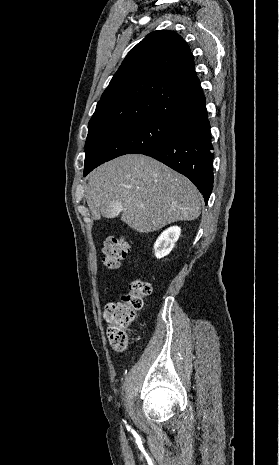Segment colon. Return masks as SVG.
Instances as JSON below:
<instances>
[{
	"label": "colon",
	"instance_id": "1",
	"mask_svg": "<svg viewBox=\"0 0 279 465\" xmlns=\"http://www.w3.org/2000/svg\"><path fill=\"white\" fill-rule=\"evenodd\" d=\"M103 264L110 270L119 268L129 251L130 245L123 237L110 236L103 246ZM151 292V285L142 278H134L129 290L117 302L109 303L104 308L107 323V338L115 351H125L129 345V330L142 308L144 299Z\"/></svg>",
	"mask_w": 279,
	"mask_h": 465
}]
</instances>
